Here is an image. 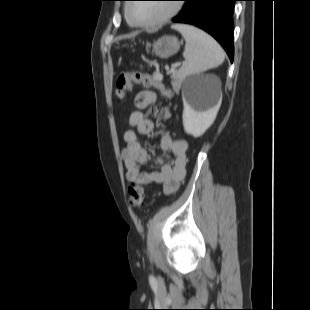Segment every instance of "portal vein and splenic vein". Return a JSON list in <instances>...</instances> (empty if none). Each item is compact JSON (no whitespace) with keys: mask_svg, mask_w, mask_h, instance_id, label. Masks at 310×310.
Here are the masks:
<instances>
[{"mask_svg":"<svg viewBox=\"0 0 310 310\" xmlns=\"http://www.w3.org/2000/svg\"><path fill=\"white\" fill-rule=\"evenodd\" d=\"M179 65H180L179 63L173 64L171 66V71H175V68L178 67ZM166 69L168 70V67H166Z\"/></svg>","mask_w":310,"mask_h":310,"instance_id":"18ae733b","label":"portal vein and splenic vein"}]
</instances>
